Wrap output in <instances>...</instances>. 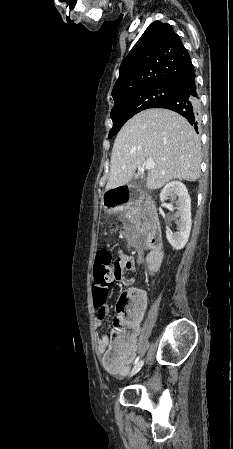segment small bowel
Segmentation results:
<instances>
[{"label":"small bowel","mask_w":233,"mask_h":449,"mask_svg":"<svg viewBox=\"0 0 233 449\" xmlns=\"http://www.w3.org/2000/svg\"><path fill=\"white\" fill-rule=\"evenodd\" d=\"M136 263L132 256L128 255L122 250L116 251V259L113 267L111 268L110 281H122L127 287H131L134 284V277L131 273L135 270ZM144 279L146 281H151L153 279V274L151 272H146L144 274ZM110 308L108 305H104L101 309L97 310V316L94 319L95 327H99L102 321L109 315ZM139 334L138 331L130 338L125 351H117L112 348L111 340L108 335H103L96 341V351L101 357L102 362L107 354H111L115 359L122 360V364L115 369H112L119 375H123L128 370L129 364L133 361L136 353V340Z\"/></svg>","instance_id":"small-bowel-1"}]
</instances>
